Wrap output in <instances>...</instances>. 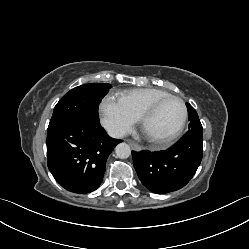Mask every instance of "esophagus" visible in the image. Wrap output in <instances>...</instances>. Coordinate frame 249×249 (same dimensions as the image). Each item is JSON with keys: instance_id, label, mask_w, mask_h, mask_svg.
<instances>
[{"instance_id": "1", "label": "esophagus", "mask_w": 249, "mask_h": 249, "mask_svg": "<svg viewBox=\"0 0 249 249\" xmlns=\"http://www.w3.org/2000/svg\"><path fill=\"white\" fill-rule=\"evenodd\" d=\"M128 143L132 147L133 150H135V151H140L141 150V147L139 145H137V144H135V143H133L131 141H129Z\"/></svg>"}]
</instances>
